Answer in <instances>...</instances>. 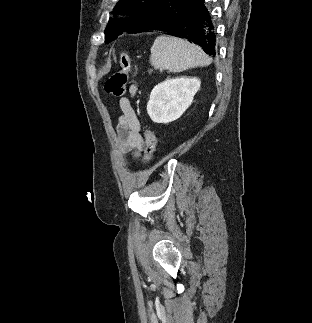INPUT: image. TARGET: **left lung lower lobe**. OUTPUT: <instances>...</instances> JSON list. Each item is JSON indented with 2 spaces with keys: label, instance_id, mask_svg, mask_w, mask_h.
I'll return each mask as SVG.
<instances>
[{
  "label": "left lung lower lobe",
  "instance_id": "left-lung-lower-lobe-1",
  "mask_svg": "<svg viewBox=\"0 0 312 323\" xmlns=\"http://www.w3.org/2000/svg\"><path fill=\"white\" fill-rule=\"evenodd\" d=\"M170 12L150 31L186 38L210 56L217 54L216 22L207 0H174Z\"/></svg>",
  "mask_w": 312,
  "mask_h": 323
}]
</instances>
